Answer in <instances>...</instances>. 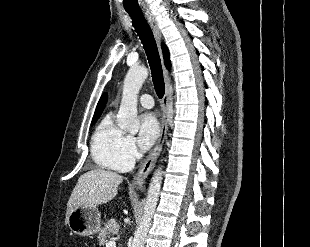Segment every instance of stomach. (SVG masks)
<instances>
[{
    "label": "stomach",
    "instance_id": "1",
    "mask_svg": "<svg viewBox=\"0 0 310 247\" xmlns=\"http://www.w3.org/2000/svg\"><path fill=\"white\" fill-rule=\"evenodd\" d=\"M100 212L96 206H79L68 216L67 225L72 233L79 236H91L100 231Z\"/></svg>",
    "mask_w": 310,
    "mask_h": 247
}]
</instances>
